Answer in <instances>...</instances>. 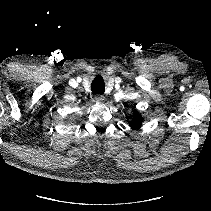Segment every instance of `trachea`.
<instances>
[{
    "mask_svg": "<svg viewBox=\"0 0 211 211\" xmlns=\"http://www.w3.org/2000/svg\"><path fill=\"white\" fill-rule=\"evenodd\" d=\"M91 90L93 93L103 94L105 91V83L103 78L98 75L94 78L91 84Z\"/></svg>",
    "mask_w": 211,
    "mask_h": 211,
    "instance_id": "trachea-1",
    "label": "trachea"
}]
</instances>
